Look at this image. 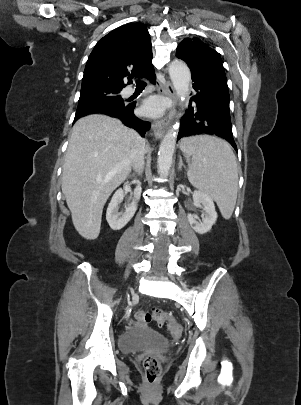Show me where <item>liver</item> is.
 <instances>
[{
  "instance_id": "liver-1",
  "label": "liver",
  "mask_w": 301,
  "mask_h": 405,
  "mask_svg": "<svg viewBox=\"0 0 301 405\" xmlns=\"http://www.w3.org/2000/svg\"><path fill=\"white\" fill-rule=\"evenodd\" d=\"M135 131L105 115L80 118L73 126L62 173V192L78 233H100L103 207L131 172ZM148 146L145 145V152Z\"/></svg>"
}]
</instances>
